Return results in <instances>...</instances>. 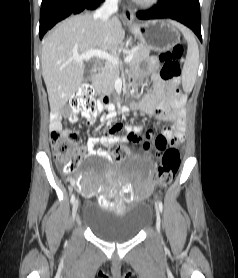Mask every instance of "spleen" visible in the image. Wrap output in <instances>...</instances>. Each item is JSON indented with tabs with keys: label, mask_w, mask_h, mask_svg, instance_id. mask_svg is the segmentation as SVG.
Listing matches in <instances>:
<instances>
[{
	"label": "spleen",
	"mask_w": 238,
	"mask_h": 278,
	"mask_svg": "<svg viewBox=\"0 0 238 278\" xmlns=\"http://www.w3.org/2000/svg\"><path fill=\"white\" fill-rule=\"evenodd\" d=\"M171 23L183 33L188 44L187 55L182 70V85L184 91L189 93L193 89L197 76V69L199 65L198 45L191 30L180 23L174 21H171Z\"/></svg>",
	"instance_id": "obj_1"
}]
</instances>
